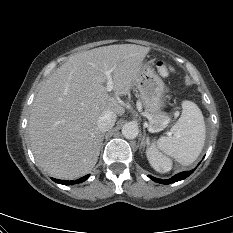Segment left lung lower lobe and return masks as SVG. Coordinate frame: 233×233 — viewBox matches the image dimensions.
Returning <instances> with one entry per match:
<instances>
[{
	"mask_svg": "<svg viewBox=\"0 0 233 233\" xmlns=\"http://www.w3.org/2000/svg\"><path fill=\"white\" fill-rule=\"evenodd\" d=\"M193 171L194 170L186 171V172H181V173H178L175 176H173L171 179H166V180L154 178V177H152L150 175H148V177L150 179H152L153 181L157 182V183L170 184V183L177 182V181L185 179L186 177H188L189 175H191L193 173Z\"/></svg>",
	"mask_w": 233,
	"mask_h": 233,
	"instance_id": "1",
	"label": "left lung lower lobe"
}]
</instances>
